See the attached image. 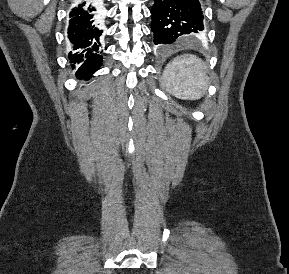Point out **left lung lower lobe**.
I'll list each match as a JSON object with an SVG mask.
<instances>
[{"label": "left lung lower lobe", "instance_id": "1", "mask_svg": "<svg viewBox=\"0 0 289 274\" xmlns=\"http://www.w3.org/2000/svg\"><path fill=\"white\" fill-rule=\"evenodd\" d=\"M151 14L155 45L168 46L203 35L200 0H154Z\"/></svg>", "mask_w": 289, "mask_h": 274}]
</instances>
